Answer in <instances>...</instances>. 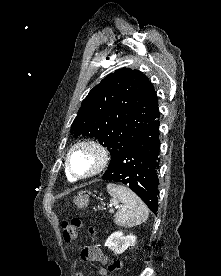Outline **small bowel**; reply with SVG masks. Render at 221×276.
Instances as JSON below:
<instances>
[{"mask_svg": "<svg viewBox=\"0 0 221 276\" xmlns=\"http://www.w3.org/2000/svg\"><path fill=\"white\" fill-rule=\"evenodd\" d=\"M81 259L83 261H89V262H100L105 263V257L101 251V249L97 246H85L81 251ZM101 276H110L106 269L102 268L99 271ZM75 276H83L81 272H76Z\"/></svg>", "mask_w": 221, "mask_h": 276, "instance_id": "small-bowel-1", "label": "small bowel"}]
</instances>
